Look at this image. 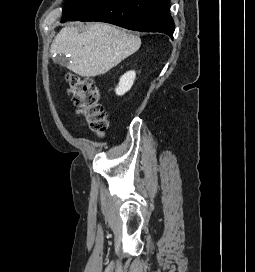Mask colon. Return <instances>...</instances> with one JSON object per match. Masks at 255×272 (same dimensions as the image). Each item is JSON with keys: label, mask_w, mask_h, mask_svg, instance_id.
<instances>
[{"label": "colon", "mask_w": 255, "mask_h": 272, "mask_svg": "<svg viewBox=\"0 0 255 272\" xmlns=\"http://www.w3.org/2000/svg\"><path fill=\"white\" fill-rule=\"evenodd\" d=\"M67 91L73 103L89 128L103 135L108 126L105 108L101 101L100 90L90 78L68 74L66 77Z\"/></svg>", "instance_id": "colon-1"}]
</instances>
